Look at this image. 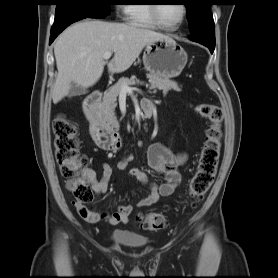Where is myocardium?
Here are the masks:
<instances>
[{
  "label": "myocardium",
  "instance_id": "1",
  "mask_svg": "<svg viewBox=\"0 0 278 278\" xmlns=\"http://www.w3.org/2000/svg\"><path fill=\"white\" fill-rule=\"evenodd\" d=\"M182 6V16L180 18V20L175 24V25H166L165 23H163L159 16H158V5L156 4H151L150 5V15H151V18L153 20V22L160 28L162 29H165V30H176L178 29L182 24L183 22L185 21L186 19V16H187V6L185 4H181Z\"/></svg>",
  "mask_w": 278,
  "mask_h": 278
}]
</instances>
